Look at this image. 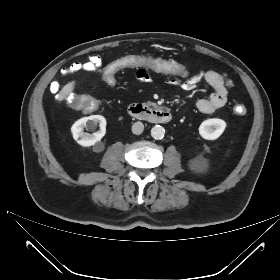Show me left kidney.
Masks as SVG:
<instances>
[{"label":"left kidney","mask_w":280,"mask_h":280,"mask_svg":"<svg viewBox=\"0 0 280 280\" xmlns=\"http://www.w3.org/2000/svg\"><path fill=\"white\" fill-rule=\"evenodd\" d=\"M226 128V122L222 119L211 118L204 120L199 126V134L206 140H215L221 136Z\"/></svg>","instance_id":"left-kidney-1"}]
</instances>
